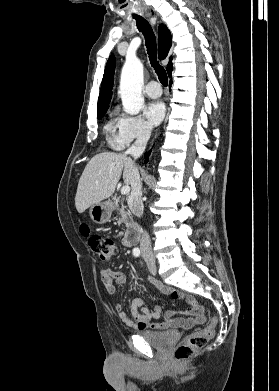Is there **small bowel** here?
I'll use <instances>...</instances> for the list:
<instances>
[{
	"mask_svg": "<svg viewBox=\"0 0 279 391\" xmlns=\"http://www.w3.org/2000/svg\"><path fill=\"white\" fill-rule=\"evenodd\" d=\"M116 238L122 237V241L125 245L129 246L126 239L123 238L122 233H117ZM101 280L108 294L114 295L116 292V286L125 283L126 276L122 272H113L110 269H102L100 271ZM150 282L160 291L170 295L173 299L185 301L190 308L186 314L191 315L189 318L175 317L178 313L176 311H167L164 321L151 322L152 319H159L162 315V309L156 306L153 310H149L145 307V302L142 298H135L131 305V315H128L123 311V307L120 303H115L114 309L118 313L120 320L127 326L134 327L139 330L157 329L164 330L170 327H181L184 329H190L197 325H202L206 322V315L204 308L200 306L196 299L188 294H185L179 290L168 288L162 285L160 282L150 279Z\"/></svg>",
	"mask_w": 279,
	"mask_h": 391,
	"instance_id": "obj_1",
	"label": "small bowel"
}]
</instances>
